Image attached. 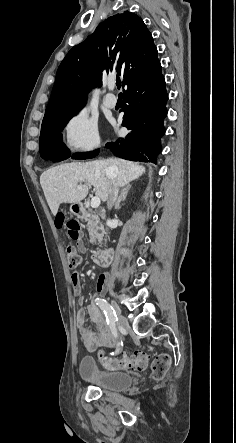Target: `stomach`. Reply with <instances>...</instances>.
Wrapping results in <instances>:
<instances>
[{
    "label": "stomach",
    "mask_w": 236,
    "mask_h": 443,
    "mask_svg": "<svg viewBox=\"0 0 236 443\" xmlns=\"http://www.w3.org/2000/svg\"><path fill=\"white\" fill-rule=\"evenodd\" d=\"M80 210H81V208H80V205H79L78 203H73V204L70 206V212H71L72 214H74V215L79 214Z\"/></svg>",
    "instance_id": "stomach-1"
}]
</instances>
